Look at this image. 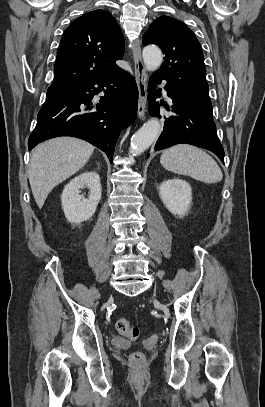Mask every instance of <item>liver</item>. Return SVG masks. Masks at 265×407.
<instances>
[{
    "mask_svg": "<svg viewBox=\"0 0 265 407\" xmlns=\"http://www.w3.org/2000/svg\"><path fill=\"white\" fill-rule=\"evenodd\" d=\"M93 151V145L74 137L50 139L32 151L28 178L40 209L52 189L79 171Z\"/></svg>",
    "mask_w": 265,
    "mask_h": 407,
    "instance_id": "1",
    "label": "liver"
}]
</instances>
